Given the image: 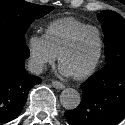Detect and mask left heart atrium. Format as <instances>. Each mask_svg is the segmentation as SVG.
<instances>
[{
    "mask_svg": "<svg viewBox=\"0 0 125 125\" xmlns=\"http://www.w3.org/2000/svg\"><path fill=\"white\" fill-rule=\"evenodd\" d=\"M60 73L64 76H69L71 75L68 70L61 64L59 67Z\"/></svg>",
    "mask_w": 125,
    "mask_h": 125,
    "instance_id": "39dd6f15",
    "label": "left heart atrium"
}]
</instances>
